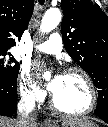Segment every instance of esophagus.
<instances>
[{"label": "esophagus", "instance_id": "1", "mask_svg": "<svg viewBox=\"0 0 108 127\" xmlns=\"http://www.w3.org/2000/svg\"><path fill=\"white\" fill-rule=\"evenodd\" d=\"M43 124L45 127H53L54 122L51 119H45Z\"/></svg>", "mask_w": 108, "mask_h": 127}]
</instances>
